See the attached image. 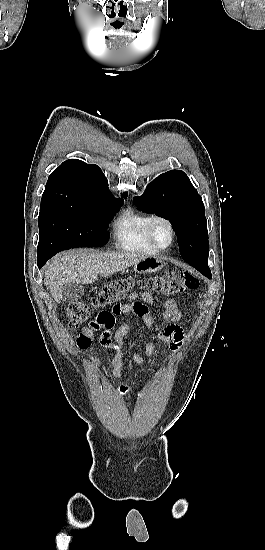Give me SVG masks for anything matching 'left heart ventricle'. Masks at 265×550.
<instances>
[{
	"label": "left heart ventricle",
	"mask_w": 265,
	"mask_h": 550,
	"mask_svg": "<svg viewBox=\"0 0 265 550\" xmlns=\"http://www.w3.org/2000/svg\"><path fill=\"white\" fill-rule=\"evenodd\" d=\"M154 236L161 246H167L170 242V232L166 225L159 223L154 228Z\"/></svg>",
	"instance_id": "1"
}]
</instances>
